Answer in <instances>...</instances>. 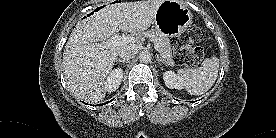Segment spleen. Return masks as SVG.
Wrapping results in <instances>:
<instances>
[{"mask_svg": "<svg viewBox=\"0 0 276 138\" xmlns=\"http://www.w3.org/2000/svg\"><path fill=\"white\" fill-rule=\"evenodd\" d=\"M218 69L219 59L216 56H212L211 58H206L201 67L180 69L178 73L188 93L191 95H201L214 85Z\"/></svg>", "mask_w": 276, "mask_h": 138, "instance_id": "spleen-1", "label": "spleen"}]
</instances>
